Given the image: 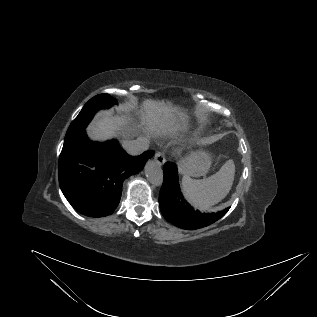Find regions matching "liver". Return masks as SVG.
<instances>
[{
  "label": "liver",
  "mask_w": 317,
  "mask_h": 317,
  "mask_svg": "<svg viewBox=\"0 0 317 317\" xmlns=\"http://www.w3.org/2000/svg\"><path fill=\"white\" fill-rule=\"evenodd\" d=\"M141 123L133 122L128 111L120 114L101 113L87 127V132L92 140L105 141L116 136L129 137L138 133L143 127V132L149 136L172 131L185 125L188 116L179 107L164 100L146 99L140 106Z\"/></svg>",
  "instance_id": "6515ba94"
}]
</instances>
